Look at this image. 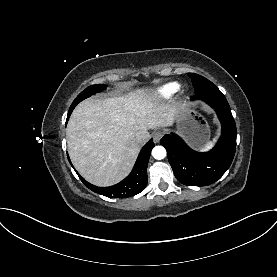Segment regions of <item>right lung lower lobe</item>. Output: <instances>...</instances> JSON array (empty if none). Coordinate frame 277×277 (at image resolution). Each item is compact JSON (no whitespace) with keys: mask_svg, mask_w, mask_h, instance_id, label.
Masks as SVG:
<instances>
[{"mask_svg":"<svg viewBox=\"0 0 277 277\" xmlns=\"http://www.w3.org/2000/svg\"><path fill=\"white\" fill-rule=\"evenodd\" d=\"M68 121V118H67ZM66 121V122H67ZM154 147L153 140H150L140 151L137 161L134 165L132 172L124 180L116 185L110 187H97L86 182L78 173L79 178L86 187L95 193L104 195L110 198H121L134 196L146 187L147 178V165L150 158L151 150ZM69 159V157H68ZM70 161V159H69Z\"/></svg>","mask_w":277,"mask_h":277,"instance_id":"98d812e1","label":"right lung lower lobe"}]
</instances>
